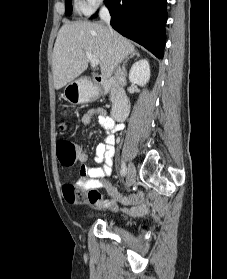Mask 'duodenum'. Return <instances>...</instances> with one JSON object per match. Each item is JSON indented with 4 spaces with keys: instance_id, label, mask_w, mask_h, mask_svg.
Segmentation results:
<instances>
[{
    "instance_id": "410a0bca",
    "label": "duodenum",
    "mask_w": 227,
    "mask_h": 279,
    "mask_svg": "<svg viewBox=\"0 0 227 279\" xmlns=\"http://www.w3.org/2000/svg\"><path fill=\"white\" fill-rule=\"evenodd\" d=\"M110 90L113 91L115 97L113 118L118 122H122L129 114L130 98L119 84L112 80L95 77L92 86L88 90L82 92L80 103H90L100 96L107 94Z\"/></svg>"
}]
</instances>
